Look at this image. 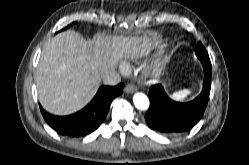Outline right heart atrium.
<instances>
[{"mask_svg": "<svg viewBox=\"0 0 249 165\" xmlns=\"http://www.w3.org/2000/svg\"><path fill=\"white\" fill-rule=\"evenodd\" d=\"M120 69H121L123 72L126 71V67H125L124 65H121V66H120Z\"/></svg>", "mask_w": 249, "mask_h": 165, "instance_id": "obj_1", "label": "right heart atrium"}]
</instances>
